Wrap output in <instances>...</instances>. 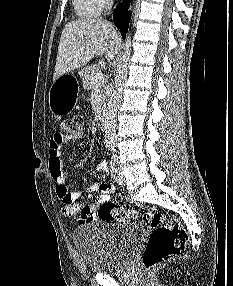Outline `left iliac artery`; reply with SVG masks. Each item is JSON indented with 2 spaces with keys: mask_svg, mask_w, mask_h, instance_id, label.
<instances>
[{
  "mask_svg": "<svg viewBox=\"0 0 233 286\" xmlns=\"http://www.w3.org/2000/svg\"><path fill=\"white\" fill-rule=\"evenodd\" d=\"M112 151H114V148L112 147V149H111Z\"/></svg>",
  "mask_w": 233,
  "mask_h": 286,
  "instance_id": "obj_1",
  "label": "left iliac artery"
}]
</instances>
